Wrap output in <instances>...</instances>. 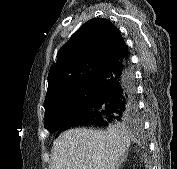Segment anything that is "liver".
<instances>
[{"mask_svg": "<svg viewBox=\"0 0 177 169\" xmlns=\"http://www.w3.org/2000/svg\"><path fill=\"white\" fill-rule=\"evenodd\" d=\"M130 142L124 127L68 130L53 143L51 169H117Z\"/></svg>", "mask_w": 177, "mask_h": 169, "instance_id": "6515ba94", "label": "liver"}]
</instances>
